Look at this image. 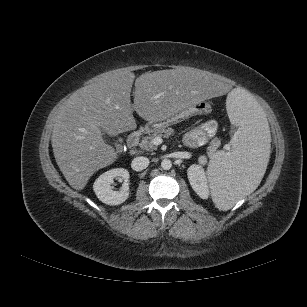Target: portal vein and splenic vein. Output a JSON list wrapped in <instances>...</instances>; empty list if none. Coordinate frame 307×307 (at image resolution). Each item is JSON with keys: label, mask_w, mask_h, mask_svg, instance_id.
Listing matches in <instances>:
<instances>
[{"label": "portal vein and splenic vein", "mask_w": 307, "mask_h": 307, "mask_svg": "<svg viewBox=\"0 0 307 307\" xmlns=\"http://www.w3.org/2000/svg\"><path fill=\"white\" fill-rule=\"evenodd\" d=\"M154 144H161L163 142V139L161 137H156L153 140Z\"/></svg>", "instance_id": "18ae733b"}]
</instances>
